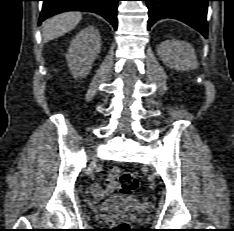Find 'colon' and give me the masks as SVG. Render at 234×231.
I'll use <instances>...</instances> for the list:
<instances>
[{
	"label": "colon",
	"instance_id": "5ec220e1",
	"mask_svg": "<svg viewBox=\"0 0 234 231\" xmlns=\"http://www.w3.org/2000/svg\"><path fill=\"white\" fill-rule=\"evenodd\" d=\"M114 179H118L120 184V192L124 195H132L138 189V180L134 173L130 171L119 172L117 169L113 173ZM117 231H127L128 226L126 223H119L116 226Z\"/></svg>",
	"mask_w": 234,
	"mask_h": 231
}]
</instances>
